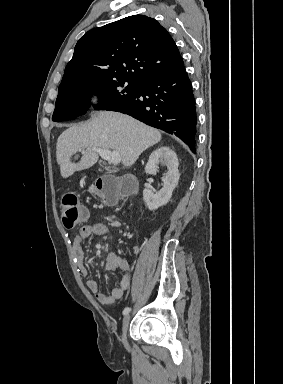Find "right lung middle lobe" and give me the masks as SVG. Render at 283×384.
Wrapping results in <instances>:
<instances>
[{"label": "right lung middle lobe", "instance_id": "obj_1", "mask_svg": "<svg viewBox=\"0 0 283 384\" xmlns=\"http://www.w3.org/2000/svg\"><path fill=\"white\" fill-rule=\"evenodd\" d=\"M139 86L137 82L118 79L59 87L52 120L66 121L83 115L92 94L98 95L100 101L94 108L108 110L118 103L135 98Z\"/></svg>", "mask_w": 283, "mask_h": 384}]
</instances>
